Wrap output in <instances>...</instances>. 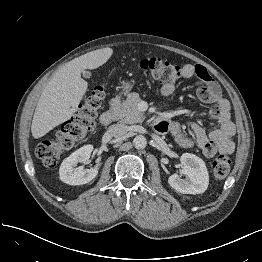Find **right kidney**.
Segmentation results:
<instances>
[{"mask_svg": "<svg viewBox=\"0 0 262 262\" xmlns=\"http://www.w3.org/2000/svg\"><path fill=\"white\" fill-rule=\"evenodd\" d=\"M93 150L92 145H86L73 152L61 164L59 169L60 179L69 185H83L92 181L98 174V165L91 169L78 166L79 163H87Z\"/></svg>", "mask_w": 262, "mask_h": 262, "instance_id": "1", "label": "right kidney"}]
</instances>
